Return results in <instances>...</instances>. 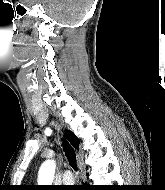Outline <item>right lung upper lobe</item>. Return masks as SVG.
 Listing matches in <instances>:
<instances>
[{"label": "right lung upper lobe", "instance_id": "cb5924a9", "mask_svg": "<svg viewBox=\"0 0 165 190\" xmlns=\"http://www.w3.org/2000/svg\"><path fill=\"white\" fill-rule=\"evenodd\" d=\"M67 137L69 141L71 142L72 146L74 148H78L79 140L77 139V137L72 132H68V131H67Z\"/></svg>", "mask_w": 165, "mask_h": 190}]
</instances>
